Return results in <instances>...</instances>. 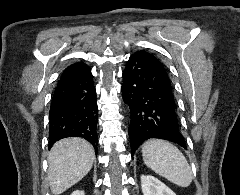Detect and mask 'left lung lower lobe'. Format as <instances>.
Here are the masks:
<instances>
[{
	"instance_id": "1",
	"label": "left lung lower lobe",
	"mask_w": 240,
	"mask_h": 195,
	"mask_svg": "<svg viewBox=\"0 0 240 195\" xmlns=\"http://www.w3.org/2000/svg\"><path fill=\"white\" fill-rule=\"evenodd\" d=\"M122 93L130 107L132 155L145 140L161 138L186 148L179 131L170 78L158 59L133 54L123 71Z\"/></svg>"
}]
</instances>
